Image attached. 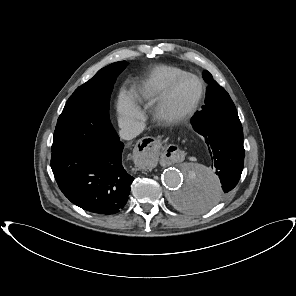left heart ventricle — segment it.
Returning a JSON list of instances; mask_svg holds the SVG:
<instances>
[{
    "mask_svg": "<svg viewBox=\"0 0 296 296\" xmlns=\"http://www.w3.org/2000/svg\"><path fill=\"white\" fill-rule=\"evenodd\" d=\"M199 93L198 83L187 78L180 82L172 94V104L177 110L188 107L197 97Z\"/></svg>",
    "mask_w": 296,
    "mask_h": 296,
    "instance_id": "obj_1",
    "label": "left heart ventricle"
}]
</instances>
